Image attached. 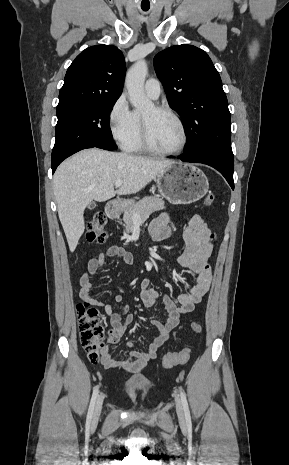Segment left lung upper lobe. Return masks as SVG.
<instances>
[{
	"label": "left lung upper lobe",
	"instance_id": "5c2ea615",
	"mask_svg": "<svg viewBox=\"0 0 289 465\" xmlns=\"http://www.w3.org/2000/svg\"><path fill=\"white\" fill-rule=\"evenodd\" d=\"M169 105L184 121L185 153L216 149L232 153L230 112L222 81L205 51L172 46L154 58Z\"/></svg>",
	"mask_w": 289,
	"mask_h": 465
}]
</instances>
